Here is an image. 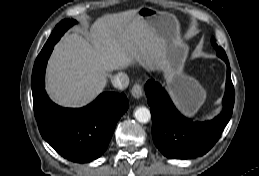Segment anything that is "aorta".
Returning a JSON list of instances; mask_svg holds the SVG:
<instances>
[{"label":"aorta","instance_id":"1","mask_svg":"<svg viewBox=\"0 0 259 176\" xmlns=\"http://www.w3.org/2000/svg\"><path fill=\"white\" fill-rule=\"evenodd\" d=\"M134 116L140 123H147L151 119L150 110L144 106L138 107L134 112Z\"/></svg>","mask_w":259,"mask_h":176}]
</instances>
